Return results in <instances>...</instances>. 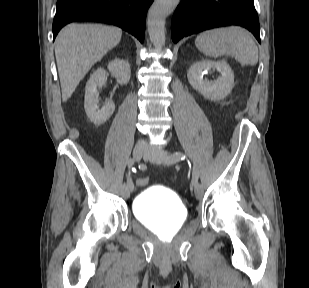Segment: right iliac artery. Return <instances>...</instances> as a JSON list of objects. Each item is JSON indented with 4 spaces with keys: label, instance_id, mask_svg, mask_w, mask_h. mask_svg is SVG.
<instances>
[{
    "label": "right iliac artery",
    "instance_id": "obj_1",
    "mask_svg": "<svg viewBox=\"0 0 309 288\" xmlns=\"http://www.w3.org/2000/svg\"><path fill=\"white\" fill-rule=\"evenodd\" d=\"M129 167H130V166H129ZM130 169H131V168H130ZM137 169H138V170H141V171H142V170H147V171H148V168L145 167V165H138V166H137ZM128 172H129V171H128ZM129 175H130V174H129ZM131 180H132V177H131V176H128V177H127V180H126V183H127L126 185H127V189H128V190H133V189H134V186H133Z\"/></svg>",
    "mask_w": 309,
    "mask_h": 288
}]
</instances>
